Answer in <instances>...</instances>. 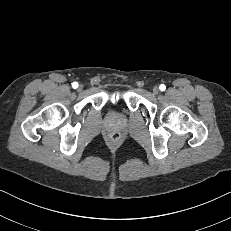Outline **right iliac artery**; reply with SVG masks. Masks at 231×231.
I'll use <instances>...</instances> for the list:
<instances>
[{"instance_id": "right-iliac-artery-1", "label": "right iliac artery", "mask_w": 231, "mask_h": 231, "mask_svg": "<svg viewBox=\"0 0 231 231\" xmlns=\"http://www.w3.org/2000/svg\"><path fill=\"white\" fill-rule=\"evenodd\" d=\"M72 87H73L74 89H76V88L78 87V83H77V82H73V83H72Z\"/></svg>"}]
</instances>
